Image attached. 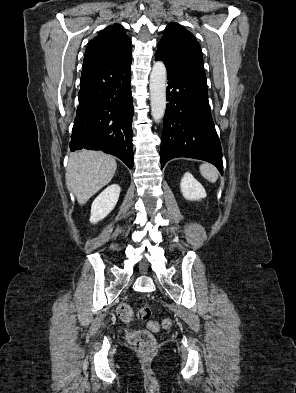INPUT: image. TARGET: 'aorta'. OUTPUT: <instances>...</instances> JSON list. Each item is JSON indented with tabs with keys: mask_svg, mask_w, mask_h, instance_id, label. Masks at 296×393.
I'll list each match as a JSON object with an SVG mask.
<instances>
[{
	"mask_svg": "<svg viewBox=\"0 0 296 393\" xmlns=\"http://www.w3.org/2000/svg\"><path fill=\"white\" fill-rule=\"evenodd\" d=\"M166 67L162 61H156L150 74L151 114L156 123L163 118L166 110Z\"/></svg>",
	"mask_w": 296,
	"mask_h": 393,
	"instance_id": "1",
	"label": "aorta"
}]
</instances>
